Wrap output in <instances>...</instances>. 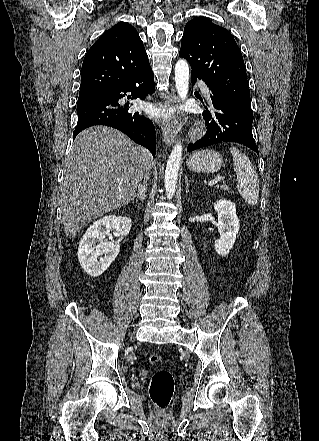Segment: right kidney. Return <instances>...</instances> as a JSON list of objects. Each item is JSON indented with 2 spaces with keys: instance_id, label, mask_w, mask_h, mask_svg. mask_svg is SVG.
<instances>
[{
  "instance_id": "1",
  "label": "right kidney",
  "mask_w": 319,
  "mask_h": 441,
  "mask_svg": "<svg viewBox=\"0 0 319 441\" xmlns=\"http://www.w3.org/2000/svg\"><path fill=\"white\" fill-rule=\"evenodd\" d=\"M131 226V219L109 215L98 219L86 230L79 242L78 259L88 275L97 277L103 274L119 253V242L106 241L105 235L116 230L121 236H127Z\"/></svg>"
}]
</instances>
